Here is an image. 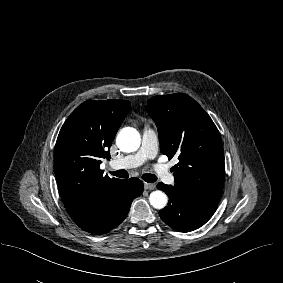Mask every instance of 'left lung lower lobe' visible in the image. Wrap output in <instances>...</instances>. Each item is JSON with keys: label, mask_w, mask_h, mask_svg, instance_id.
Returning <instances> with one entry per match:
<instances>
[{"label": "left lung lower lobe", "mask_w": 283, "mask_h": 283, "mask_svg": "<svg viewBox=\"0 0 283 283\" xmlns=\"http://www.w3.org/2000/svg\"><path fill=\"white\" fill-rule=\"evenodd\" d=\"M157 188L166 192L169 197L168 206L160 210L159 215L167 225L177 231L198 229L217 209V204L201 200L181 185L159 183Z\"/></svg>", "instance_id": "obj_1"}]
</instances>
